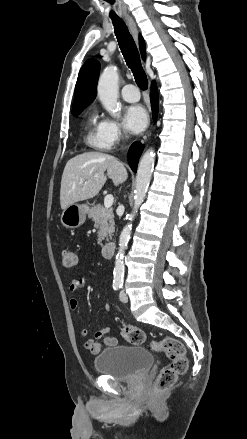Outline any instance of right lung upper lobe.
I'll list each match as a JSON object with an SVG mask.
<instances>
[{
    "label": "right lung upper lobe",
    "instance_id": "1",
    "mask_svg": "<svg viewBox=\"0 0 247 439\" xmlns=\"http://www.w3.org/2000/svg\"><path fill=\"white\" fill-rule=\"evenodd\" d=\"M140 51L145 59V43L140 36ZM100 72V65L94 59H89L82 66L75 86V96L72 112L86 108L96 97V84Z\"/></svg>",
    "mask_w": 247,
    "mask_h": 439
}]
</instances>
